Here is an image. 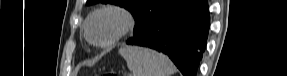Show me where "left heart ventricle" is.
<instances>
[{
	"label": "left heart ventricle",
	"instance_id": "1",
	"mask_svg": "<svg viewBox=\"0 0 287 76\" xmlns=\"http://www.w3.org/2000/svg\"><path fill=\"white\" fill-rule=\"evenodd\" d=\"M120 19L114 14H103L91 24L90 34L97 41L110 38L119 28Z\"/></svg>",
	"mask_w": 287,
	"mask_h": 76
}]
</instances>
